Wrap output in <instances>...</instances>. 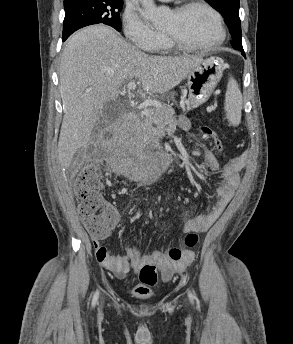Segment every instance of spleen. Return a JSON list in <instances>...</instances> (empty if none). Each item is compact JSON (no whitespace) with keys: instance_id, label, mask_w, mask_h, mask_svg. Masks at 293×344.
<instances>
[{"instance_id":"1","label":"spleen","mask_w":293,"mask_h":344,"mask_svg":"<svg viewBox=\"0 0 293 344\" xmlns=\"http://www.w3.org/2000/svg\"><path fill=\"white\" fill-rule=\"evenodd\" d=\"M242 94L237 82L230 78L225 94L224 109L231 125L238 126L241 122Z\"/></svg>"}]
</instances>
